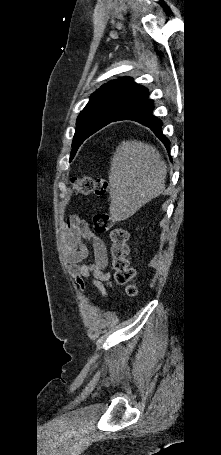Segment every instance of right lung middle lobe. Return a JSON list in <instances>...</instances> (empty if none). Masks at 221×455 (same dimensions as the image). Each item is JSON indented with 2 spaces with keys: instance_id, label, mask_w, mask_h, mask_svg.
Masks as SVG:
<instances>
[{
  "instance_id": "right-lung-middle-lobe-1",
  "label": "right lung middle lobe",
  "mask_w": 221,
  "mask_h": 455,
  "mask_svg": "<svg viewBox=\"0 0 221 455\" xmlns=\"http://www.w3.org/2000/svg\"><path fill=\"white\" fill-rule=\"evenodd\" d=\"M124 112L125 111L120 107L107 104L86 106L77 119L70 161L85 139L110 122L116 120Z\"/></svg>"
}]
</instances>
